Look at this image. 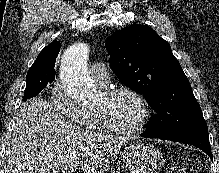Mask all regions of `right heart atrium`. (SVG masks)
Instances as JSON below:
<instances>
[{"mask_svg": "<svg viewBox=\"0 0 219 173\" xmlns=\"http://www.w3.org/2000/svg\"><path fill=\"white\" fill-rule=\"evenodd\" d=\"M50 102L53 109L63 117L78 125H86L87 113L72 100L60 82L54 84Z\"/></svg>", "mask_w": 219, "mask_h": 173, "instance_id": "obj_1", "label": "right heart atrium"}]
</instances>
